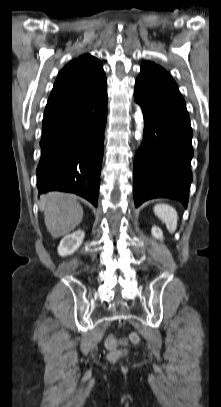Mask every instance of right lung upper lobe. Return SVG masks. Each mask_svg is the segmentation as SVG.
Here are the masks:
<instances>
[{
  "mask_svg": "<svg viewBox=\"0 0 221 407\" xmlns=\"http://www.w3.org/2000/svg\"><path fill=\"white\" fill-rule=\"evenodd\" d=\"M106 89L107 80L101 62L84 54L59 72L45 112L85 102Z\"/></svg>",
  "mask_w": 221,
  "mask_h": 407,
  "instance_id": "obj_1",
  "label": "right lung upper lobe"
}]
</instances>
